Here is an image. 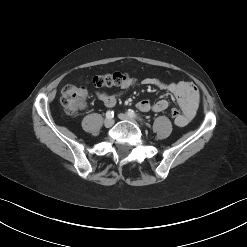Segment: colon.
Segmentation results:
<instances>
[{"instance_id": "1", "label": "colon", "mask_w": 247, "mask_h": 247, "mask_svg": "<svg viewBox=\"0 0 247 247\" xmlns=\"http://www.w3.org/2000/svg\"><path fill=\"white\" fill-rule=\"evenodd\" d=\"M127 80L128 76L126 74L113 72L93 77L92 84L97 88H110L122 86ZM87 95L85 87L66 86L62 91L61 98L65 112L69 115H74L82 110L86 105ZM170 116L176 121L181 116V112L177 109H172Z\"/></svg>"}]
</instances>
